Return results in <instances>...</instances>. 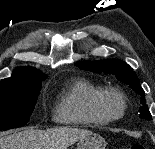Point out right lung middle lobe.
Segmentation results:
<instances>
[{"label": "right lung middle lobe", "instance_id": "obj_1", "mask_svg": "<svg viewBox=\"0 0 155 149\" xmlns=\"http://www.w3.org/2000/svg\"><path fill=\"white\" fill-rule=\"evenodd\" d=\"M45 78L0 82V131L28 122Z\"/></svg>", "mask_w": 155, "mask_h": 149}]
</instances>
